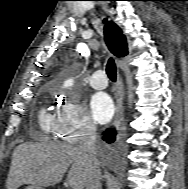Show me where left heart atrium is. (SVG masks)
<instances>
[{"mask_svg": "<svg viewBox=\"0 0 188 189\" xmlns=\"http://www.w3.org/2000/svg\"><path fill=\"white\" fill-rule=\"evenodd\" d=\"M90 108L93 118L99 123L108 122L114 113L112 99L106 93L94 94L90 100Z\"/></svg>", "mask_w": 188, "mask_h": 189, "instance_id": "obj_1", "label": "left heart atrium"}]
</instances>
